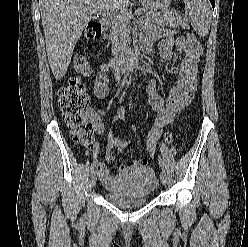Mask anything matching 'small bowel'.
I'll use <instances>...</instances> for the list:
<instances>
[{
	"mask_svg": "<svg viewBox=\"0 0 248 247\" xmlns=\"http://www.w3.org/2000/svg\"><path fill=\"white\" fill-rule=\"evenodd\" d=\"M155 36L160 37L157 48L163 60L170 61L173 58L174 50L183 56L177 71L176 86L170 89L166 104H164V100L159 93L158 81L156 79H151L146 87L149 102L153 110L164 113L167 117V123H171L175 120L177 114L194 98L197 90L198 63L202 56V48L196 40L190 41L184 37H174L173 31L169 29H161L153 37ZM142 43L144 49H151V38H144ZM113 62L102 64L95 76L94 93L98 99H104L108 96L109 84L107 74L108 72L115 71ZM123 118V113L117 116V120H122ZM92 122L96 133L101 134L104 132V123L95 113L92 114ZM172 140V134L166 132L165 141L171 143ZM131 143V140L123 139L110 132L107 136L106 162L112 163L114 161V155L111 152L113 148L126 150ZM132 163L136 166L147 167L150 162L148 159L142 158L133 160ZM127 168L125 164H121L119 166V172L121 173ZM96 170L103 185L110 189H116L117 177L111 175L105 163L96 162Z\"/></svg>",
	"mask_w": 248,
	"mask_h": 247,
	"instance_id": "1",
	"label": "small bowel"
}]
</instances>
